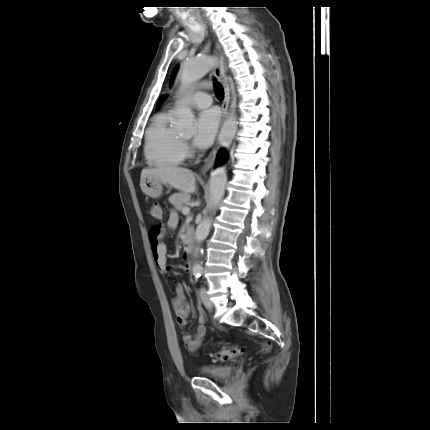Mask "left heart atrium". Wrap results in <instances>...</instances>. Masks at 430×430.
Wrapping results in <instances>:
<instances>
[{
  "mask_svg": "<svg viewBox=\"0 0 430 430\" xmlns=\"http://www.w3.org/2000/svg\"><path fill=\"white\" fill-rule=\"evenodd\" d=\"M219 113L216 109H208L201 112L195 125L194 143L200 148L209 147L219 125Z\"/></svg>",
  "mask_w": 430,
  "mask_h": 430,
  "instance_id": "1",
  "label": "left heart atrium"
}]
</instances>
